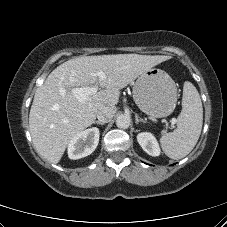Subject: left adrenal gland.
<instances>
[{
	"instance_id": "left-adrenal-gland-1",
	"label": "left adrenal gland",
	"mask_w": 227,
	"mask_h": 227,
	"mask_svg": "<svg viewBox=\"0 0 227 227\" xmlns=\"http://www.w3.org/2000/svg\"><path fill=\"white\" fill-rule=\"evenodd\" d=\"M135 118H136V124H138L139 122H142V123H145V121L144 120H142V119H139V117H138V115L136 114L135 115Z\"/></svg>"
}]
</instances>
